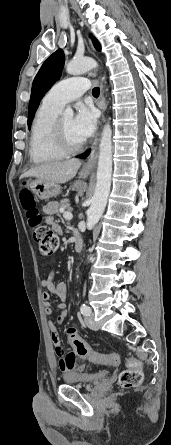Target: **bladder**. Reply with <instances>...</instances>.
<instances>
[{
	"label": "bladder",
	"mask_w": 171,
	"mask_h": 445,
	"mask_svg": "<svg viewBox=\"0 0 171 445\" xmlns=\"http://www.w3.org/2000/svg\"><path fill=\"white\" fill-rule=\"evenodd\" d=\"M105 377H106V372L104 371L94 372V373L68 372L63 375V380L67 384L71 385H90L103 380Z\"/></svg>",
	"instance_id": "bladder-1"
}]
</instances>
